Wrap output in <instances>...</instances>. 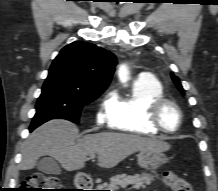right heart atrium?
I'll use <instances>...</instances> for the list:
<instances>
[{"instance_id": "1", "label": "right heart atrium", "mask_w": 218, "mask_h": 191, "mask_svg": "<svg viewBox=\"0 0 218 191\" xmlns=\"http://www.w3.org/2000/svg\"><path fill=\"white\" fill-rule=\"evenodd\" d=\"M118 103V96L114 91L107 93L103 101L100 104L99 110L96 115V121L98 124L102 125L109 123L114 110Z\"/></svg>"}]
</instances>
